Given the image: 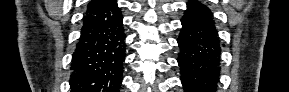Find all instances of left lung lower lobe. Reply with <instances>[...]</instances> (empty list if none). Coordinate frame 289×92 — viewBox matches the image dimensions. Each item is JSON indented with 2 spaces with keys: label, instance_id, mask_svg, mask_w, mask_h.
<instances>
[{
  "label": "left lung lower lobe",
  "instance_id": "0a47b994",
  "mask_svg": "<svg viewBox=\"0 0 289 92\" xmlns=\"http://www.w3.org/2000/svg\"><path fill=\"white\" fill-rule=\"evenodd\" d=\"M181 22L178 64L184 91L215 92L220 44L212 12L199 1H189Z\"/></svg>",
  "mask_w": 289,
  "mask_h": 92
}]
</instances>
